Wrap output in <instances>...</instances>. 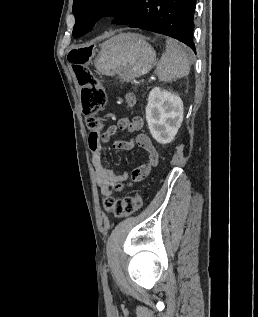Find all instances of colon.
Here are the masks:
<instances>
[{
  "label": "colon",
  "mask_w": 258,
  "mask_h": 317,
  "mask_svg": "<svg viewBox=\"0 0 258 317\" xmlns=\"http://www.w3.org/2000/svg\"><path fill=\"white\" fill-rule=\"evenodd\" d=\"M91 47H77L68 54V60L81 89L82 109L87 118V125L92 132H97L100 127V119L97 114L106 104V92L100 82L94 77L87 67L92 56ZM128 106L134 103L133 96H126ZM143 204V197L139 193L114 199L106 196L103 200L105 210L117 218L128 217L137 212Z\"/></svg>",
  "instance_id": "5ec220e1"
}]
</instances>
